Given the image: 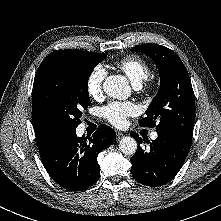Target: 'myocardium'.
<instances>
[{"label":"myocardium","mask_w":221,"mask_h":221,"mask_svg":"<svg viewBox=\"0 0 221 221\" xmlns=\"http://www.w3.org/2000/svg\"><path fill=\"white\" fill-rule=\"evenodd\" d=\"M142 89H145L146 91H148L149 89H151L152 87V79L149 76L140 86Z\"/></svg>","instance_id":"obj_1"}]
</instances>
